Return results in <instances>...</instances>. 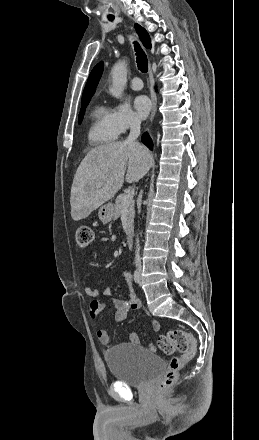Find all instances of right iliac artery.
<instances>
[{"mask_svg": "<svg viewBox=\"0 0 259 440\" xmlns=\"http://www.w3.org/2000/svg\"><path fill=\"white\" fill-rule=\"evenodd\" d=\"M139 280H140V274H139L138 270H135L134 271V281L136 283H139Z\"/></svg>", "mask_w": 259, "mask_h": 440, "instance_id": "right-iliac-artery-1", "label": "right iliac artery"}]
</instances>
